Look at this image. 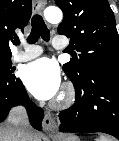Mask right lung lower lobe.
Returning a JSON list of instances; mask_svg holds the SVG:
<instances>
[{
    "instance_id": "right-lung-lower-lobe-1",
    "label": "right lung lower lobe",
    "mask_w": 119,
    "mask_h": 141,
    "mask_svg": "<svg viewBox=\"0 0 119 141\" xmlns=\"http://www.w3.org/2000/svg\"><path fill=\"white\" fill-rule=\"evenodd\" d=\"M17 105L25 106L31 125L41 130L44 111L29 99L21 80L15 76L11 79L0 78V122L7 117L9 110Z\"/></svg>"
}]
</instances>
